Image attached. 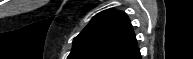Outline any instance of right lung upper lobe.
Masks as SVG:
<instances>
[{
	"instance_id": "obj_1",
	"label": "right lung upper lobe",
	"mask_w": 193,
	"mask_h": 59,
	"mask_svg": "<svg viewBox=\"0 0 193 59\" xmlns=\"http://www.w3.org/2000/svg\"><path fill=\"white\" fill-rule=\"evenodd\" d=\"M138 51L127 15L109 9L97 14L75 37L67 59H128Z\"/></svg>"
}]
</instances>
